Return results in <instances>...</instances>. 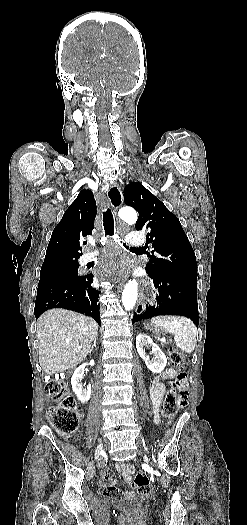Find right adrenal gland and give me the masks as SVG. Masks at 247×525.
I'll return each instance as SVG.
<instances>
[{"instance_id": "1", "label": "right adrenal gland", "mask_w": 247, "mask_h": 525, "mask_svg": "<svg viewBox=\"0 0 247 525\" xmlns=\"http://www.w3.org/2000/svg\"><path fill=\"white\" fill-rule=\"evenodd\" d=\"M94 347H96V337H95V339H94V343H93L91 349H89V353H92Z\"/></svg>"}]
</instances>
